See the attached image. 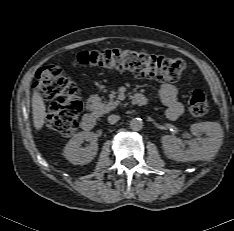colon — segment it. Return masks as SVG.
Instances as JSON below:
<instances>
[{"instance_id":"1","label":"colon","mask_w":234,"mask_h":231,"mask_svg":"<svg viewBox=\"0 0 234 231\" xmlns=\"http://www.w3.org/2000/svg\"><path fill=\"white\" fill-rule=\"evenodd\" d=\"M77 66L99 67L116 71H131L140 78L160 82L180 79L186 64L181 58L152 55L143 51L103 50L85 51L77 55ZM35 88L49 100H53L46 117L48 128L62 136L70 137L77 129L82 109L77 99V87L54 65L42 67L37 73ZM187 111L193 118H201L208 112V100L202 90H194L187 103Z\"/></svg>"}]
</instances>
